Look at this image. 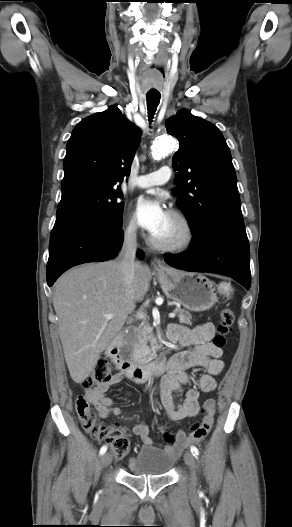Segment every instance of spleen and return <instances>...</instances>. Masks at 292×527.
I'll return each mask as SVG.
<instances>
[{
    "label": "spleen",
    "instance_id": "spleen-1",
    "mask_svg": "<svg viewBox=\"0 0 292 527\" xmlns=\"http://www.w3.org/2000/svg\"><path fill=\"white\" fill-rule=\"evenodd\" d=\"M218 291H219L220 294H223V295L229 297L230 294L233 292V289H232L230 283L221 282L218 285Z\"/></svg>",
    "mask_w": 292,
    "mask_h": 527
}]
</instances>
